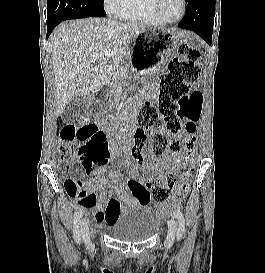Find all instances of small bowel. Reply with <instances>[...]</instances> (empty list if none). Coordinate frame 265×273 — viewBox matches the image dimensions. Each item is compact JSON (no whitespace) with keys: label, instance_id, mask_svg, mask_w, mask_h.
<instances>
[{"label":"small bowel","instance_id":"1","mask_svg":"<svg viewBox=\"0 0 265 273\" xmlns=\"http://www.w3.org/2000/svg\"><path fill=\"white\" fill-rule=\"evenodd\" d=\"M120 152L121 150L116 147L112 150L113 155H118ZM172 160L173 156L169 153L164 156H155L150 164L144 166L143 173L146 175L155 170L161 177L163 171L170 167ZM126 166L128 169H124L123 173L124 177L128 178V191H131L132 195L125 192L122 188L121 170L114 169L108 178L98 174L95 179L87 181L85 183L86 194L73 198L82 208L94 212L92 225L96 229L104 230L125 207L152 203V191L148 190V186H145L143 178L139 177L138 170L129 161L126 162ZM106 185L113 188V196L106 190L99 195L96 194V191ZM121 202L124 204L123 206H121ZM113 204H117L118 209L113 208ZM168 209V206H163L160 213L164 215L168 212Z\"/></svg>","mask_w":265,"mask_h":273}]
</instances>
